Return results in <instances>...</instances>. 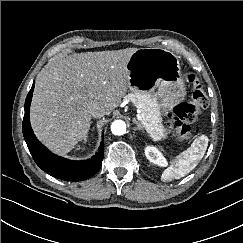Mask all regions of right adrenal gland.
I'll use <instances>...</instances> for the list:
<instances>
[{"label":"right adrenal gland","instance_id":"obj_1","mask_svg":"<svg viewBox=\"0 0 243 243\" xmlns=\"http://www.w3.org/2000/svg\"><path fill=\"white\" fill-rule=\"evenodd\" d=\"M86 138H87V136L84 137V141H85V142H86Z\"/></svg>","mask_w":243,"mask_h":243}]
</instances>
